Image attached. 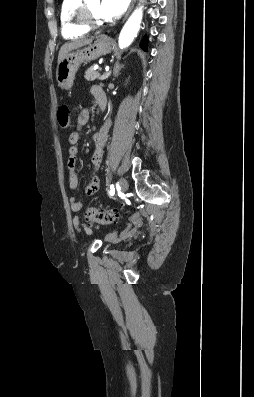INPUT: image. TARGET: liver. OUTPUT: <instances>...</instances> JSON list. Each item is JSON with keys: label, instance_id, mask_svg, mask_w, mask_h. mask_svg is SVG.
Returning <instances> with one entry per match:
<instances>
[{"label": "liver", "instance_id": "liver-1", "mask_svg": "<svg viewBox=\"0 0 254 397\" xmlns=\"http://www.w3.org/2000/svg\"><path fill=\"white\" fill-rule=\"evenodd\" d=\"M92 42V38H81L72 42L65 43L59 51L58 63L73 49L80 48Z\"/></svg>", "mask_w": 254, "mask_h": 397}]
</instances>
